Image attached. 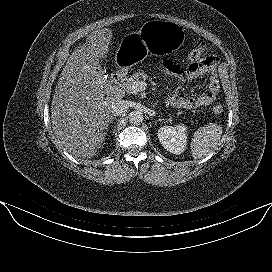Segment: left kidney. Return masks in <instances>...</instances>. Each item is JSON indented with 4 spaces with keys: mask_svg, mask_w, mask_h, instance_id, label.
Returning a JSON list of instances; mask_svg holds the SVG:
<instances>
[{
    "mask_svg": "<svg viewBox=\"0 0 272 272\" xmlns=\"http://www.w3.org/2000/svg\"><path fill=\"white\" fill-rule=\"evenodd\" d=\"M158 139L167 151L179 155L186 149L187 127L183 124L163 126L158 130Z\"/></svg>",
    "mask_w": 272,
    "mask_h": 272,
    "instance_id": "5707ae66",
    "label": "left kidney"
}]
</instances>
